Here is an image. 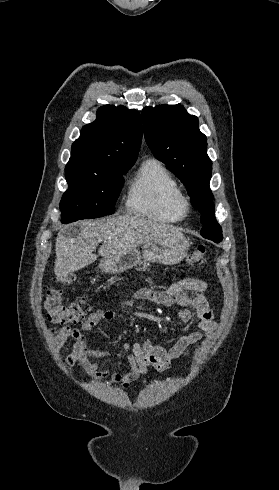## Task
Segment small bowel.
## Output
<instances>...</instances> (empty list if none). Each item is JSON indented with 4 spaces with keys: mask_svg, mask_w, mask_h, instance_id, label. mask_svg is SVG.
Here are the masks:
<instances>
[{
    "mask_svg": "<svg viewBox=\"0 0 279 490\" xmlns=\"http://www.w3.org/2000/svg\"><path fill=\"white\" fill-rule=\"evenodd\" d=\"M206 283L196 278H186L172 284L166 290L142 288L131 300L122 305L123 310L130 309L137 301H149L162 306L180 307L178 316L184 322L191 318L189 311L183 307L190 305L195 309L199 319V330H191L176 341L170 348L165 349L151 340L143 343L124 342L118 350L108 351L90 347L85 332L93 329L99 322L111 321L116 317L113 310L98 309L91 312L80 327L64 326L51 331L52 344L61 348L69 339L74 340L72 352L65 358L68 366L80 365L94 379L110 378L112 382L127 387L130 383L147 373L149 368L157 371L169 369L174 360L187 357L191 349L204 337L214 332L216 321L204 295ZM115 359L125 362L130 370L126 373L109 374L107 370H98L94 360Z\"/></svg>",
    "mask_w": 279,
    "mask_h": 490,
    "instance_id": "c3829d8e",
    "label": "small bowel"
}]
</instances>
